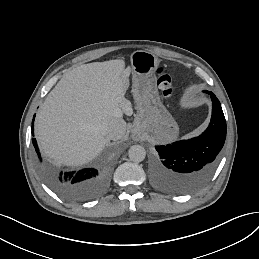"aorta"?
Masks as SVG:
<instances>
[{"label": "aorta", "instance_id": "aorta-1", "mask_svg": "<svg viewBox=\"0 0 259 259\" xmlns=\"http://www.w3.org/2000/svg\"><path fill=\"white\" fill-rule=\"evenodd\" d=\"M128 155L131 161L141 162L145 159L146 151L145 148L141 145H133L130 147Z\"/></svg>", "mask_w": 259, "mask_h": 259}]
</instances>
